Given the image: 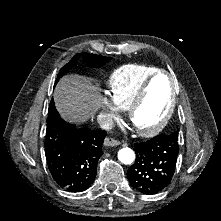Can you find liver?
Here are the masks:
<instances>
[{
    "label": "liver",
    "instance_id": "obj_1",
    "mask_svg": "<svg viewBox=\"0 0 221 221\" xmlns=\"http://www.w3.org/2000/svg\"><path fill=\"white\" fill-rule=\"evenodd\" d=\"M98 90V86L84 76L67 75L60 79L55 88V106L65 120L84 123L93 118L101 107Z\"/></svg>",
    "mask_w": 221,
    "mask_h": 221
}]
</instances>
